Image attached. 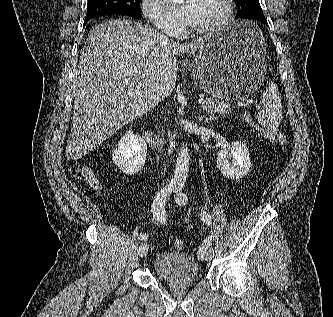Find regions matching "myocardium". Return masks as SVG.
I'll list each match as a JSON object with an SVG mask.
<instances>
[{"instance_id": "1", "label": "myocardium", "mask_w": 333, "mask_h": 317, "mask_svg": "<svg viewBox=\"0 0 333 317\" xmlns=\"http://www.w3.org/2000/svg\"><path fill=\"white\" fill-rule=\"evenodd\" d=\"M222 4L223 11L214 22L205 27H194L188 25V31L196 35H208L221 29L231 18L234 9L233 0H222Z\"/></svg>"}]
</instances>
